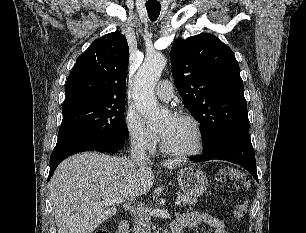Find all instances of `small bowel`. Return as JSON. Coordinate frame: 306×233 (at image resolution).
I'll return each instance as SVG.
<instances>
[{
	"label": "small bowel",
	"mask_w": 306,
	"mask_h": 233,
	"mask_svg": "<svg viewBox=\"0 0 306 233\" xmlns=\"http://www.w3.org/2000/svg\"><path fill=\"white\" fill-rule=\"evenodd\" d=\"M180 225L181 227L200 226L203 230L212 229L213 233H228L227 224L224 219L214 217L205 212H189L181 215L172 225Z\"/></svg>",
	"instance_id": "1"
}]
</instances>
